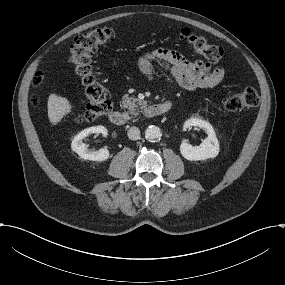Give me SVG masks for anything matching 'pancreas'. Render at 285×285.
I'll list each match as a JSON object with an SVG mask.
<instances>
[{
    "label": "pancreas",
    "instance_id": "cf45deb5",
    "mask_svg": "<svg viewBox=\"0 0 285 285\" xmlns=\"http://www.w3.org/2000/svg\"><path fill=\"white\" fill-rule=\"evenodd\" d=\"M147 101L140 100L138 98L129 97L127 94L122 97V105L124 108H128L129 113L134 116H138L140 109L147 106Z\"/></svg>",
    "mask_w": 285,
    "mask_h": 285
}]
</instances>
